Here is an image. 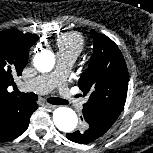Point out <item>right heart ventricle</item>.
<instances>
[{"instance_id": "1", "label": "right heart ventricle", "mask_w": 153, "mask_h": 153, "mask_svg": "<svg viewBox=\"0 0 153 153\" xmlns=\"http://www.w3.org/2000/svg\"><path fill=\"white\" fill-rule=\"evenodd\" d=\"M58 53L77 57L85 46L82 35L77 32L62 34L57 39Z\"/></svg>"}]
</instances>
